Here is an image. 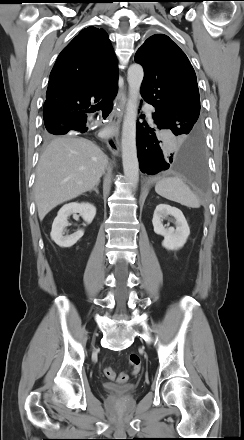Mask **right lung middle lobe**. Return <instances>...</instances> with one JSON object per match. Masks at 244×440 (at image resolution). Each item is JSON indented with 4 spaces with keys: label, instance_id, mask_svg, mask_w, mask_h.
I'll use <instances>...</instances> for the list:
<instances>
[{
    "label": "right lung middle lobe",
    "instance_id": "obj_1",
    "mask_svg": "<svg viewBox=\"0 0 244 440\" xmlns=\"http://www.w3.org/2000/svg\"><path fill=\"white\" fill-rule=\"evenodd\" d=\"M52 135H58L57 131L46 127L45 137L50 138V137H52Z\"/></svg>",
    "mask_w": 244,
    "mask_h": 440
}]
</instances>
